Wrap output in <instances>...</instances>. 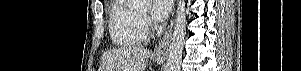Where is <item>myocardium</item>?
<instances>
[{
	"mask_svg": "<svg viewBox=\"0 0 301 71\" xmlns=\"http://www.w3.org/2000/svg\"><path fill=\"white\" fill-rule=\"evenodd\" d=\"M139 12H140V13H143L144 11L140 9Z\"/></svg>",
	"mask_w": 301,
	"mask_h": 71,
	"instance_id": "myocardium-1",
	"label": "myocardium"
}]
</instances>
